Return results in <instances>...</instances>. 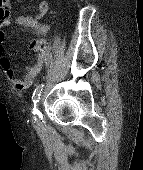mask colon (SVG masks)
I'll return each mask as SVG.
<instances>
[{
  "label": "colon",
  "mask_w": 143,
  "mask_h": 170,
  "mask_svg": "<svg viewBox=\"0 0 143 170\" xmlns=\"http://www.w3.org/2000/svg\"><path fill=\"white\" fill-rule=\"evenodd\" d=\"M8 0H0V20L8 16ZM43 46V42L36 40L32 43V47L35 50H40Z\"/></svg>",
  "instance_id": "5ec220e1"
}]
</instances>
